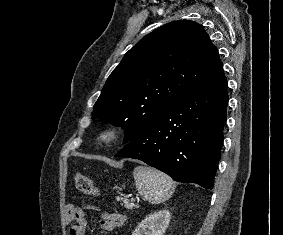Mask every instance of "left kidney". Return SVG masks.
Returning a JSON list of instances; mask_svg holds the SVG:
<instances>
[{
    "mask_svg": "<svg viewBox=\"0 0 283 235\" xmlns=\"http://www.w3.org/2000/svg\"><path fill=\"white\" fill-rule=\"evenodd\" d=\"M169 210H161L147 215L133 231L132 235H164L170 222Z\"/></svg>",
    "mask_w": 283,
    "mask_h": 235,
    "instance_id": "obj_1",
    "label": "left kidney"
}]
</instances>
